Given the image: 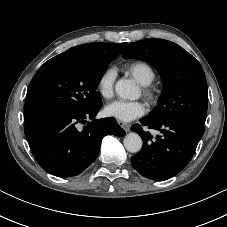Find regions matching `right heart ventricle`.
I'll use <instances>...</instances> for the list:
<instances>
[{"label": "right heart ventricle", "mask_w": 227, "mask_h": 227, "mask_svg": "<svg viewBox=\"0 0 227 227\" xmlns=\"http://www.w3.org/2000/svg\"><path fill=\"white\" fill-rule=\"evenodd\" d=\"M123 70L141 86H149L156 78L153 67L141 60L126 63Z\"/></svg>", "instance_id": "1"}]
</instances>
